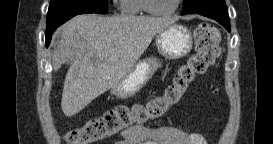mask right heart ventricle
<instances>
[{
	"mask_svg": "<svg viewBox=\"0 0 273 144\" xmlns=\"http://www.w3.org/2000/svg\"><path fill=\"white\" fill-rule=\"evenodd\" d=\"M121 11L127 16L138 15L143 11V0H122Z\"/></svg>",
	"mask_w": 273,
	"mask_h": 144,
	"instance_id": "right-heart-ventricle-1",
	"label": "right heart ventricle"
}]
</instances>
